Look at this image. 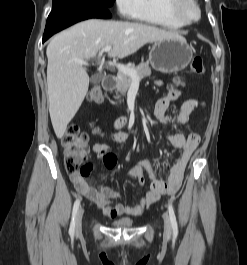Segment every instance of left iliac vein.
<instances>
[{
  "label": "left iliac vein",
  "mask_w": 247,
  "mask_h": 265,
  "mask_svg": "<svg viewBox=\"0 0 247 265\" xmlns=\"http://www.w3.org/2000/svg\"><path fill=\"white\" fill-rule=\"evenodd\" d=\"M164 218V235L169 238L171 236V222L167 213L163 215Z\"/></svg>",
  "instance_id": "obj_1"
}]
</instances>
